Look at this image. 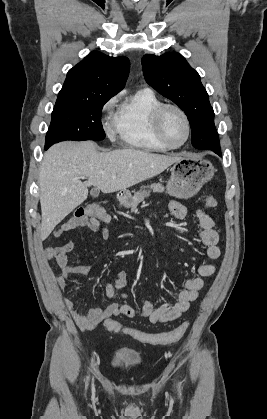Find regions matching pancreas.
<instances>
[{
	"mask_svg": "<svg viewBox=\"0 0 267 419\" xmlns=\"http://www.w3.org/2000/svg\"><path fill=\"white\" fill-rule=\"evenodd\" d=\"M149 187L153 190V192H163L165 189L161 183H152ZM146 196L147 191L145 190L136 192L132 197L131 210H136L139 203L142 202Z\"/></svg>",
	"mask_w": 267,
	"mask_h": 419,
	"instance_id": "cf45deb5",
	"label": "pancreas"
}]
</instances>
